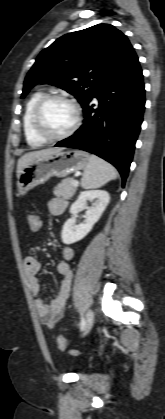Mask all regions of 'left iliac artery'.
Segmentation results:
<instances>
[{"label":"left iliac artery","instance_id":"obj_1","mask_svg":"<svg viewBox=\"0 0 165 419\" xmlns=\"http://www.w3.org/2000/svg\"><path fill=\"white\" fill-rule=\"evenodd\" d=\"M84 326H85V319H84L83 316H81V321H80V324H79V327H80L81 331L84 330Z\"/></svg>","mask_w":165,"mask_h":419}]
</instances>
